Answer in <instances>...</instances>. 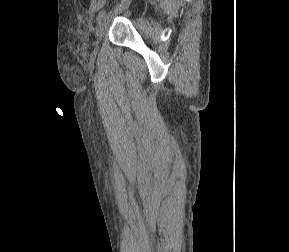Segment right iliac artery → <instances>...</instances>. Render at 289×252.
Masks as SVG:
<instances>
[{"mask_svg": "<svg viewBox=\"0 0 289 252\" xmlns=\"http://www.w3.org/2000/svg\"><path fill=\"white\" fill-rule=\"evenodd\" d=\"M106 15V11L102 10L99 12V14L97 15V21L100 22Z\"/></svg>", "mask_w": 289, "mask_h": 252, "instance_id": "obj_1", "label": "right iliac artery"}]
</instances>
